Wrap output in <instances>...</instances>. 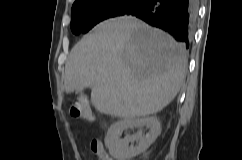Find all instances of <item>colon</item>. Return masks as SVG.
<instances>
[{"label":"colon","mask_w":242,"mask_h":160,"mask_svg":"<svg viewBox=\"0 0 242 160\" xmlns=\"http://www.w3.org/2000/svg\"><path fill=\"white\" fill-rule=\"evenodd\" d=\"M69 112L71 116L86 121L93 119L92 110L88 104L86 97L82 93H76L70 101ZM100 157V155H98ZM101 160V157H100Z\"/></svg>","instance_id":"colon-1"}]
</instances>
